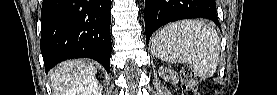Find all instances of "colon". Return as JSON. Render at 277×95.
Here are the masks:
<instances>
[{
    "label": "colon",
    "mask_w": 277,
    "mask_h": 95,
    "mask_svg": "<svg viewBox=\"0 0 277 95\" xmlns=\"http://www.w3.org/2000/svg\"><path fill=\"white\" fill-rule=\"evenodd\" d=\"M181 85L183 89V94H197L196 74L193 71V69L189 66H184L181 70Z\"/></svg>",
    "instance_id": "colon-1"
}]
</instances>
